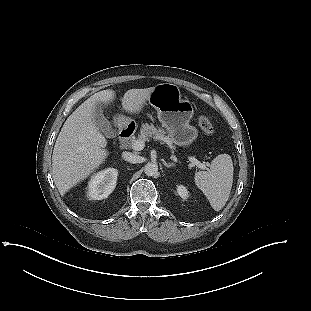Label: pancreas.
<instances>
[{
	"label": "pancreas",
	"instance_id": "pancreas-1",
	"mask_svg": "<svg viewBox=\"0 0 311 311\" xmlns=\"http://www.w3.org/2000/svg\"><path fill=\"white\" fill-rule=\"evenodd\" d=\"M148 139H160L167 142L169 145L173 143L167 136H164V132L162 129H157L153 125H144L141 129L140 140H148ZM134 142L130 140V144Z\"/></svg>",
	"mask_w": 311,
	"mask_h": 311
}]
</instances>
